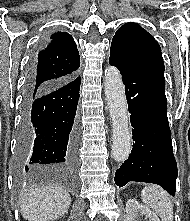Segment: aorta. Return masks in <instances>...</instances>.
I'll return each instance as SVG.
<instances>
[{"label": "aorta", "mask_w": 190, "mask_h": 221, "mask_svg": "<svg viewBox=\"0 0 190 221\" xmlns=\"http://www.w3.org/2000/svg\"><path fill=\"white\" fill-rule=\"evenodd\" d=\"M104 87L112 120V156L118 162L125 161L131 152L128 107L121 74L116 67L108 66L104 73Z\"/></svg>", "instance_id": "762f6f07"}]
</instances>
